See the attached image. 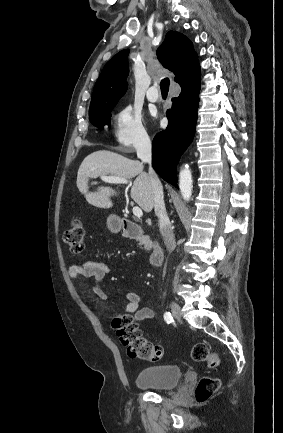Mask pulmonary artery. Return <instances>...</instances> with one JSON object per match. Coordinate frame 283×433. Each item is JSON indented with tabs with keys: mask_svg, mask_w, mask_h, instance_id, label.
<instances>
[{
	"mask_svg": "<svg viewBox=\"0 0 283 433\" xmlns=\"http://www.w3.org/2000/svg\"><path fill=\"white\" fill-rule=\"evenodd\" d=\"M146 97L151 102H157L161 99V96L158 94V90L156 88H149L147 90Z\"/></svg>",
	"mask_w": 283,
	"mask_h": 433,
	"instance_id": "pulmonary-artery-1",
	"label": "pulmonary artery"
}]
</instances>
